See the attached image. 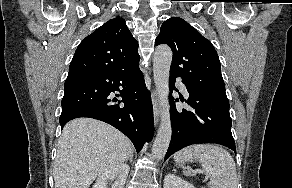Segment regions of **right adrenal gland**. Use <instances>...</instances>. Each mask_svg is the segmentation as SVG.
Here are the masks:
<instances>
[{
    "label": "right adrenal gland",
    "mask_w": 292,
    "mask_h": 188,
    "mask_svg": "<svg viewBox=\"0 0 292 188\" xmlns=\"http://www.w3.org/2000/svg\"><path fill=\"white\" fill-rule=\"evenodd\" d=\"M128 160L130 161V163H132V160H133V154L130 155V157L128 158Z\"/></svg>",
    "instance_id": "right-adrenal-gland-1"
}]
</instances>
